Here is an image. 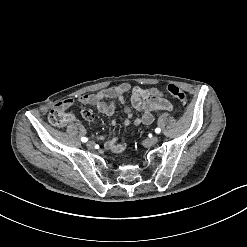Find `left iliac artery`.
<instances>
[{"mask_svg": "<svg viewBox=\"0 0 247 247\" xmlns=\"http://www.w3.org/2000/svg\"><path fill=\"white\" fill-rule=\"evenodd\" d=\"M155 132L158 134V133L161 132V129H160V128H156V129H155Z\"/></svg>", "mask_w": 247, "mask_h": 247, "instance_id": "left-iliac-artery-1", "label": "left iliac artery"}]
</instances>
